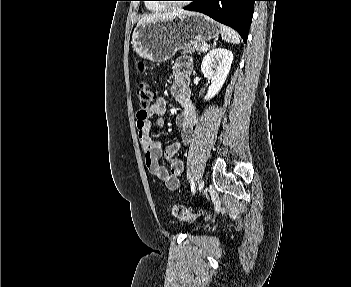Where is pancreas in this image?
<instances>
[{"mask_svg": "<svg viewBox=\"0 0 351 287\" xmlns=\"http://www.w3.org/2000/svg\"><path fill=\"white\" fill-rule=\"evenodd\" d=\"M204 42L200 41H193L187 44L185 47L181 48L183 50L182 54L185 55L186 53H192L195 51L202 52Z\"/></svg>", "mask_w": 351, "mask_h": 287, "instance_id": "cf45deb5", "label": "pancreas"}]
</instances>
